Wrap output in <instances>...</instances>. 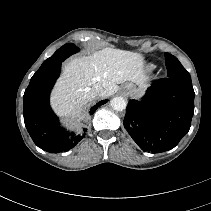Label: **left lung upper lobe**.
I'll list each match as a JSON object with an SVG mask.
<instances>
[{"instance_id": "obj_1", "label": "left lung upper lobe", "mask_w": 211, "mask_h": 211, "mask_svg": "<svg viewBox=\"0 0 211 211\" xmlns=\"http://www.w3.org/2000/svg\"><path fill=\"white\" fill-rule=\"evenodd\" d=\"M166 58V66L168 70V78H179V79H186L191 80L189 73L186 69L181 65L178 59L169 54L165 53Z\"/></svg>"}]
</instances>
